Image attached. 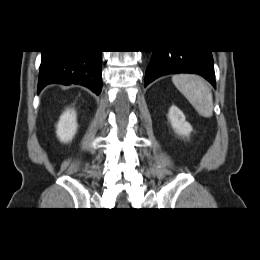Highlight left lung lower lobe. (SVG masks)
<instances>
[{
	"mask_svg": "<svg viewBox=\"0 0 260 260\" xmlns=\"http://www.w3.org/2000/svg\"><path fill=\"white\" fill-rule=\"evenodd\" d=\"M195 73L216 87L211 51H153L144 86L167 74Z\"/></svg>",
	"mask_w": 260,
	"mask_h": 260,
	"instance_id": "left-lung-lower-lobe-1",
	"label": "left lung lower lobe"
}]
</instances>
